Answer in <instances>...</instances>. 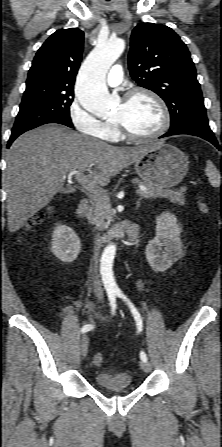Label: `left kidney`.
Returning a JSON list of instances; mask_svg holds the SVG:
<instances>
[{"instance_id": "left-kidney-1", "label": "left kidney", "mask_w": 222, "mask_h": 447, "mask_svg": "<svg viewBox=\"0 0 222 447\" xmlns=\"http://www.w3.org/2000/svg\"><path fill=\"white\" fill-rule=\"evenodd\" d=\"M181 228L174 214L164 212L156 218V237L146 246V258L156 272L168 270L182 254Z\"/></svg>"}]
</instances>
